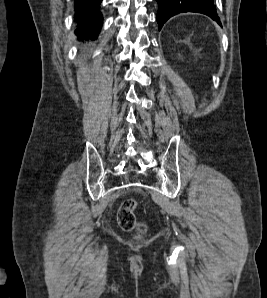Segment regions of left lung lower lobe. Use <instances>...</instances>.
Returning <instances> with one entry per match:
<instances>
[{"label": "left lung lower lobe", "instance_id": "1", "mask_svg": "<svg viewBox=\"0 0 267 298\" xmlns=\"http://www.w3.org/2000/svg\"><path fill=\"white\" fill-rule=\"evenodd\" d=\"M158 2L157 22L159 30L172 16L182 12H198L208 15L221 24L213 0H156Z\"/></svg>", "mask_w": 267, "mask_h": 298}]
</instances>
